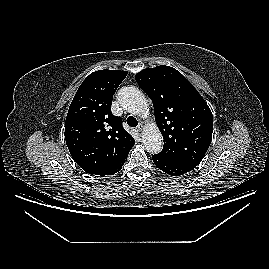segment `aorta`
I'll return each instance as SVG.
<instances>
[{
    "label": "aorta",
    "mask_w": 269,
    "mask_h": 269,
    "mask_svg": "<svg viewBox=\"0 0 269 269\" xmlns=\"http://www.w3.org/2000/svg\"><path fill=\"white\" fill-rule=\"evenodd\" d=\"M118 100L123 108L133 115H144L148 111L145 95L136 87H123L118 92ZM142 141L150 154H157L162 150V134L155 123L144 129Z\"/></svg>",
    "instance_id": "obj_1"
}]
</instances>
